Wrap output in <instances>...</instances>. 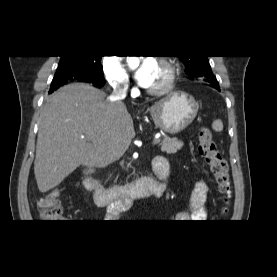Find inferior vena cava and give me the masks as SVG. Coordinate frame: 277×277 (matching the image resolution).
<instances>
[{
    "label": "inferior vena cava",
    "mask_w": 277,
    "mask_h": 277,
    "mask_svg": "<svg viewBox=\"0 0 277 277\" xmlns=\"http://www.w3.org/2000/svg\"><path fill=\"white\" fill-rule=\"evenodd\" d=\"M128 85L125 83H116L114 85V90L110 96L111 101H119L121 102L125 99L127 95Z\"/></svg>",
    "instance_id": "inferior-vena-cava-1"
}]
</instances>
